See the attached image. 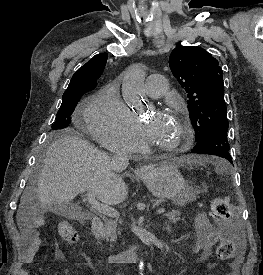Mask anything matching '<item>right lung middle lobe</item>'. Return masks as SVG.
<instances>
[{
  "label": "right lung middle lobe",
  "instance_id": "dd1d6c3e",
  "mask_svg": "<svg viewBox=\"0 0 263 275\" xmlns=\"http://www.w3.org/2000/svg\"><path fill=\"white\" fill-rule=\"evenodd\" d=\"M88 91V89H82L63 94L62 104L58 110L55 122L52 126L53 130L64 129L69 126L71 122V114L73 113L76 104L78 103L82 94Z\"/></svg>",
  "mask_w": 263,
  "mask_h": 275
}]
</instances>
